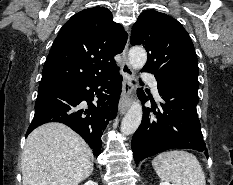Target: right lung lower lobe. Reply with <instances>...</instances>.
<instances>
[{"mask_svg":"<svg viewBox=\"0 0 233 185\" xmlns=\"http://www.w3.org/2000/svg\"><path fill=\"white\" fill-rule=\"evenodd\" d=\"M121 87L122 76L118 67L95 78L40 87L35 115L26 136L39 125L61 122L79 133L94 155H98L103 131L117 114ZM94 97L98 98L95 103L92 102ZM83 101L87 102V107Z\"/></svg>","mask_w":233,"mask_h":185,"instance_id":"98d812e1","label":"right lung lower lobe"}]
</instances>
